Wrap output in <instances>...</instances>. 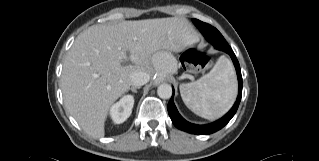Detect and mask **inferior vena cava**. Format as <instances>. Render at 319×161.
<instances>
[{
    "label": "inferior vena cava",
    "instance_id": "602c4592",
    "mask_svg": "<svg viewBox=\"0 0 319 161\" xmlns=\"http://www.w3.org/2000/svg\"><path fill=\"white\" fill-rule=\"evenodd\" d=\"M150 79L149 74L142 71L133 72L130 74V84L135 87H141Z\"/></svg>",
    "mask_w": 319,
    "mask_h": 161
}]
</instances>
